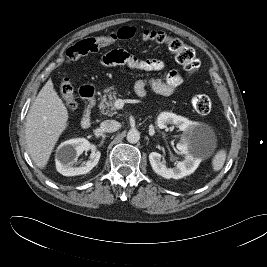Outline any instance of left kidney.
<instances>
[{"label":"left kidney","mask_w":267,"mask_h":267,"mask_svg":"<svg viewBox=\"0 0 267 267\" xmlns=\"http://www.w3.org/2000/svg\"><path fill=\"white\" fill-rule=\"evenodd\" d=\"M158 127L164 129L169 124L176 125L181 131L188 132L195 128V124L189 121L187 118L178 116L171 112H163L157 118ZM191 141L189 139H183V141L177 144V149L184 155V160L179 161L174 168H168L161 161V154L157 152H151L149 154V161L154 172L165 179H180L184 176L192 174L198 167L200 159L194 157L190 149Z\"/></svg>","instance_id":"obj_1"}]
</instances>
